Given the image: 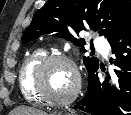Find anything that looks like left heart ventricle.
I'll use <instances>...</instances> for the list:
<instances>
[{"label":"left heart ventricle","instance_id":"obj_1","mask_svg":"<svg viewBox=\"0 0 131 115\" xmlns=\"http://www.w3.org/2000/svg\"><path fill=\"white\" fill-rule=\"evenodd\" d=\"M75 85L73 70L66 63L50 65L44 75V88L53 98H66Z\"/></svg>","mask_w":131,"mask_h":115}]
</instances>
